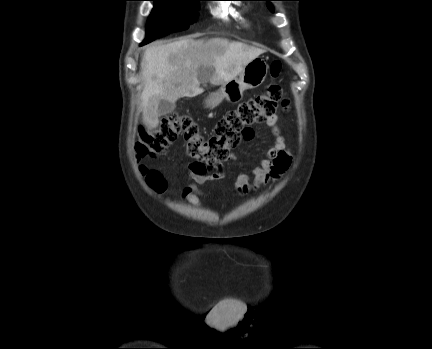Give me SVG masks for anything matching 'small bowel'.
<instances>
[{
	"mask_svg": "<svg viewBox=\"0 0 432 349\" xmlns=\"http://www.w3.org/2000/svg\"><path fill=\"white\" fill-rule=\"evenodd\" d=\"M266 126L271 130L272 145L265 156L251 167L250 174L245 172L238 174L235 185L241 191L247 190L252 185L265 184L269 180L276 178L287 169L291 162L286 140L278 127V116L274 114L269 117L266 120ZM188 173L193 183L186 187L184 192L187 200L196 206L201 204L200 197L204 195L198 185L218 181L224 177V170L221 166L209 172L207 167L198 162L189 164ZM252 178L254 181H252Z\"/></svg>",
	"mask_w": 432,
	"mask_h": 349,
	"instance_id": "1",
	"label": "small bowel"
}]
</instances>
